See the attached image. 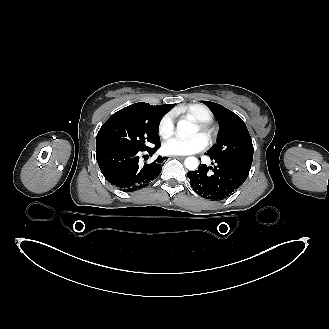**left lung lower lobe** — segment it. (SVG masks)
Here are the masks:
<instances>
[{"label":"left lung lower lobe","mask_w":329,"mask_h":329,"mask_svg":"<svg viewBox=\"0 0 329 329\" xmlns=\"http://www.w3.org/2000/svg\"><path fill=\"white\" fill-rule=\"evenodd\" d=\"M215 166L201 165L198 170L188 172V178L193 190L208 200H223L231 196L247 179L250 166L242 163L211 158ZM213 164V162H212ZM213 170L209 175L207 172Z\"/></svg>","instance_id":"left-lung-lower-lobe-1"}]
</instances>
